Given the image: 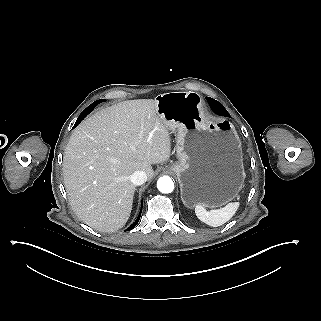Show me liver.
Returning <instances> with one entry per match:
<instances>
[{
  "label": "liver",
  "instance_id": "1",
  "mask_svg": "<svg viewBox=\"0 0 321 321\" xmlns=\"http://www.w3.org/2000/svg\"><path fill=\"white\" fill-rule=\"evenodd\" d=\"M171 124L156 101L130 100L106 108L82 122L64 153V185L73 211L87 225L115 232L128 221L136 189L130 175L168 161Z\"/></svg>",
  "mask_w": 321,
  "mask_h": 321
}]
</instances>
